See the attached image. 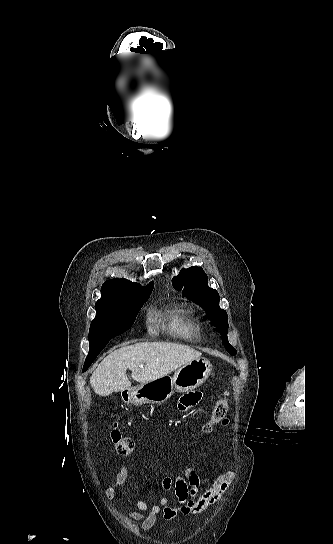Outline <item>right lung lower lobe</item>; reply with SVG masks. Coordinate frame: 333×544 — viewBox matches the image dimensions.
Returning <instances> with one entry per match:
<instances>
[{
  "mask_svg": "<svg viewBox=\"0 0 333 544\" xmlns=\"http://www.w3.org/2000/svg\"><path fill=\"white\" fill-rule=\"evenodd\" d=\"M88 369V367H83V372L86 371Z\"/></svg>",
  "mask_w": 333,
  "mask_h": 544,
  "instance_id": "right-lung-lower-lobe-1",
  "label": "right lung lower lobe"
}]
</instances>
